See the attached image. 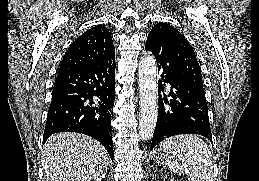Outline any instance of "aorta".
<instances>
[{
	"label": "aorta",
	"instance_id": "aorta-1",
	"mask_svg": "<svg viewBox=\"0 0 259 181\" xmlns=\"http://www.w3.org/2000/svg\"><path fill=\"white\" fill-rule=\"evenodd\" d=\"M138 82L140 93L139 134L143 141L153 136L157 116V64L151 55H145L139 62Z\"/></svg>",
	"mask_w": 259,
	"mask_h": 181
}]
</instances>
